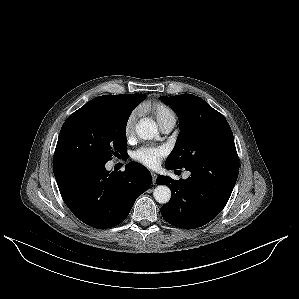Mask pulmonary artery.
Listing matches in <instances>:
<instances>
[{"instance_id": "e3ab8cb5", "label": "pulmonary artery", "mask_w": 299, "mask_h": 299, "mask_svg": "<svg viewBox=\"0 0 299 299\" xmlns=\"http://www.w3.org/2000/svg\"><path fill=\"white\" fill-rule=\"evenodd\" d=\"M175 126V121H169L164 123L163 125L160 126V129L163 133H169L172 131V129ZM189 176V173H185L184 177L187 178Z\"/></svg>"}]
</instances>
